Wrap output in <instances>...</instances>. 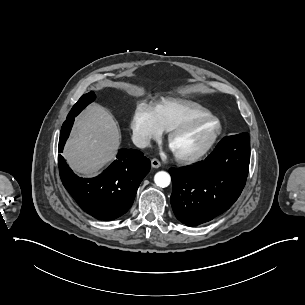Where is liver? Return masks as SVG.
Listing matches in <instances>:
<instances>
[{"label": "liver", "mask_w": 305, "mask_h": 305, "mask_svg": "<svg viewBox=\"0 0 305 305\" xmlns=\"http://www.w3.org/2000/svg\"><path fill=\"white\" fill-rule=\"evenodd\" d=\"M120 137L112 115L100 105H89L76 119L63 156L76 173L91 177L115 159Z\"/></svg>", "instance_id": "6515ba94"}]
</instances>
